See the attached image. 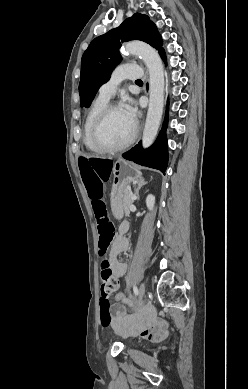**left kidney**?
<instances>
[{
  "label": "left kidney",
  "instance_id": "1",
  "mask_svg": "<svg viewBox=\"0 0 248 389\" xmlns=\"http://www.w3.org/2000/svg\"><path fill=\"white\" fill-rule=\"evenodd\" d=\"M155 204V197L153 195H148L146 198V206L149 210H152Z\"/></svg>",
  "mask_w": 248,
  "mask_h": 389
}]
</instances>
